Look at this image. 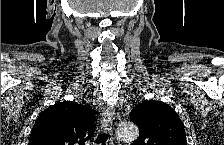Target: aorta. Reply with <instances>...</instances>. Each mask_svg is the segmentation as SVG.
Returning a JSON list of instances; mask_svg holds the SVG:
<instances>
[{"label": "aorta", "mask_w": 224, "mask_h": 145, "mask_svg": "<svg viewBox=\"0 0 224 145\" xmlns=\"http://www.w3.org/2000/svg\"><path fill=\"white\" fill-rule=\"evenodd\" d=\"M116 134L120 140L132 142L138 138L139 130L133 122H124L118 126Z\"/></svg>", "instance_id": "obj_1"}]
</instances>
